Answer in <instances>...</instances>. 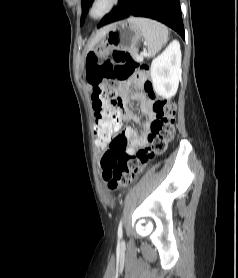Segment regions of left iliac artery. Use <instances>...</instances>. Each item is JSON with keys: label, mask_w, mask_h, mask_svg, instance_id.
<instances>
[{"label": "left iliac artery", "mask_w": 238, "mask_h": 278, "mask_svg": "<svg viewBox=\"0 0 238 278\" xmlns=\"http://www.w3.org/2000/svg\"><path fill=\"white\" fill-rule=\"evenodd\" d=\"M118 236H122V220H120L119 226H118Z\"/></svg>", "instance_id": "obj_1"}]
</instances>
